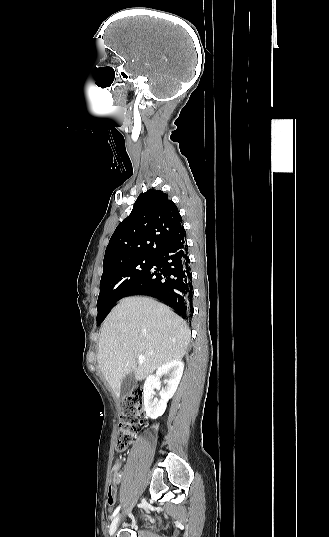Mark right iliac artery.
<instances>
[{
	"instance_id": "obj_1",
	"label": "right iliac artery",
	"mask_w": 329,
	"mask_h": 537,
	"mask_svg": "<svg viewBox=\"0 0 329 537\" xmlns=\"http://www.w3.org/2000/svg\"><path fill=\"white\" fill-rule=\"evenodd\" d=\"M120 508H121V505H119V506L114 510V512H113V514H112V516H111V518H114V517L118 514Z\"/></svg>"
}]
</instances>
